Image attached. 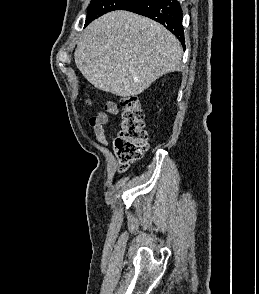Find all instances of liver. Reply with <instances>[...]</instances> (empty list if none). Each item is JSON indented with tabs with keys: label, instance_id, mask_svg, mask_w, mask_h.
Wrapping results in <instances>:
<instances>
[{
	"label": "liver",
	"instance_id": "obj_1",
	"mask_svg": "<svg viewBox=\"0 0 259 294\" xmlns=\"http://www.w3.org/2000/svg\"><path fill=\"white\" fill-rule=\"evenodd\" d=\"M183 49L165 27L128 11H113L85 29L74 53L82 75L99 90L136 96L180 69Z\"/></svg>",
	"mask_w": 259,
	"mask_h": 294
}]
</instances>
